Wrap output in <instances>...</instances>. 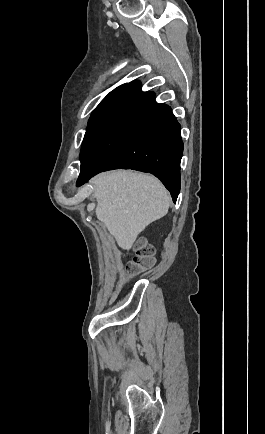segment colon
Listing matches in <instances>:
<instances>
[{
  "mask_svg": "<svg viewBox=\"0 0 265 434\" xmlns=\"http://www.w3.org/2000/svg\"><path fill=\"white\" fill-rule=\"evenodd\" d=\"M154 251L151 247L140 243L135 257L126 268V279H133L142 276L154 265ZM127 281H124L125 284Z\"/></svg>",
  "mask_w": 265,
  "mask_h": 434,
  "instance_id": "5ec220e1",
  "label": "colon"
}]
</instances>
